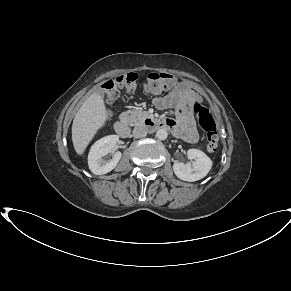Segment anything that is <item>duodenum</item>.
Instances as JSON below:
<instances>
[{
  "instance_id": "obj_1",
  "label": "duodenum",
  "mask_w": 291,
  "mask_h": 291,
  "mask_svg": "<svg viewBox=\"0 0 291 291\" xmlns=\"http://www.w3.org/2000/svg\"><path fill=\"white\" fill-rule=\"evenodd\" d=\"M145 126L150 129H167V125L164 120L154 119V118H147L145 120ZM115 131L121 135L126 136L128 134V127L125 118H120L114 123Z\"/></svg>"
}]
</instances>
